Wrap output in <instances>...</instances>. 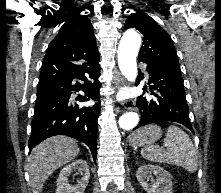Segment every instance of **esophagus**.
Returning a JSON list of instances; mask_svg holds the SVG:
<instances>
[{"instance_id":"esophagus-1","label":"esophagus","mask_w":221,"mask_h":193,"mask_svg":"<svg viewBox=\"0 0 221 193\" xmlns=\"http://www.w3.org/2000/svg\"><path fill=\"white\" fill-rule=\"evenodd\" d=\"M114 84L116 86H119V85H124V79L121 75H118L115 77V80H114ZM122 105L125 109L127 110H134V111H137V106H136V103L134 100L132 99H128V100H124L122 102Z\"/></svg>"}]
</instances>
